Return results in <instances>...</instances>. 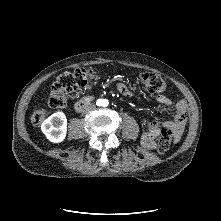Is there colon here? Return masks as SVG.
I'll return each instance as SVG.
<instances>
[{
	"instance_id": "colon-1",
	"label": "colon",
	"mask_w": 221,
	"mask_h": 221,
	"mask_svg": "<svg viewBox=\"0 0 221 221\" xmlns=\"http://www.w3.org/2000/svg\"><path fill=\"white\" fill-rule=\"evenodd\" d=\"M96 80L97 74L92 69H76L72 72L62 73L52 85L49 96L50 107L53 109L64 108L69 93L87 88ZM140 81L143 87L151 93H162L167 87L165 80L154 73L141 74ZM46 116L47 112L45 110H35L31 116L32 123L40 125ZM176 140L175 132L169 127H164L158 141L159 152L165 153Z\"/></svg>"
}]
</instances>
